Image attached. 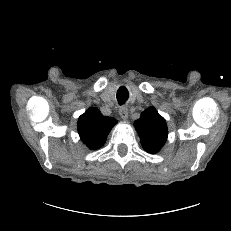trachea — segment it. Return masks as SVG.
Returning <instances> with one entry per match:
<instances>
[{"label":"trachea","instance_id":"3493384b","mask_svg":"<svg viewBox=\"0 0 231 231\" xmlns=\"http://www.w3.org/2000/svg\"><path fill=\"white\" fill-rule=\"evenodd\" d=\"M129 97L128 91L125 87H120L117 92V101L120 105L124 104Z\"/></svg>","mask_w":231,"mask_h":231}]
</instances>
